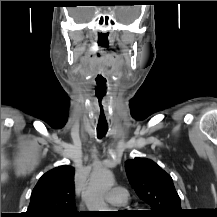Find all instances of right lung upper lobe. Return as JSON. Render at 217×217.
I'll use <instances>...</instances> for the list:
<instances>
[{
	"label": "right lung upper lobe",
	"instance_id": "right-lung-upper-lobe-1",
	"mask_svg": "<svg viewBox=\"0 0 217 217\" xmlns=\"http://www.w3.org/2000/svg\"><path fill=\"white\" fill-rule=\"evenodd\" d=\"M75 169L68 165L46 172L31 194L25 217H61L78 215L74 191Z\"/></svg>",
	"mask_w": 217,
	"mask_h": 217
}]
</instances>
